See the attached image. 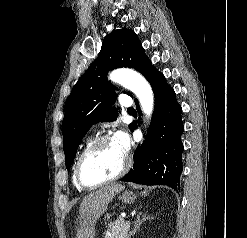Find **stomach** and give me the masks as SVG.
<instances>
[{
  "label": "stomach",
  "mask_w": 247,
  "mask_h": 238,
  "mask_svg": "<svg viewBox=\"0 0 247 238\" xmlns=\"http://www.w3.org/2000/svg\"><path fill=\"white\" fill-rule=\"evenodd\" d=\"M142 196V197H146L149 195V192L147 190H143L140 193L136 194L132 191H125L121 196H120V200L125 203V204H131L134 203V201L137 199V197Z\"/></svg>",
  "instance_id": "0dacf381"
}]
</instances>
